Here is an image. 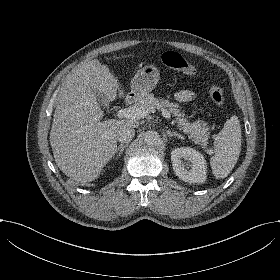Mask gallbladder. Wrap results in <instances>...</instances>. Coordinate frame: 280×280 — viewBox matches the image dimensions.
<instances>
[{
  "label": "gallbladder",
  "mask_w": 280,
  "mask_h": 280,
  "mask_svg": "<svg viewBox=\"0 0 280 280\" xmlns=\"http://www.w3.org/2000/svg\"><path fill=\"white\" fill-rule=\"evenodd\" d=\"M92 93H95V99L98 102L99 106H101L106 111H110L111 102L106 98L105 93L100 91L99 89L96 90L95 88H92Z\"/></svg>",
  "instance_id": "obj_1"
}]
</instances>
